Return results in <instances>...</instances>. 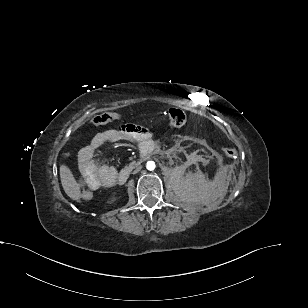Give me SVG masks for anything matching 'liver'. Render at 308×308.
Segmentation results:
<instances>
[{
    "label": "liver",
    "instance_id": "obj_1",
    "mask_svg": "<svg viewBox=\"0 0 308 308\" xmlns=\"http://www.w3.org/2000/svg\"><path fill=\"white\" fill-rule=\"evenodd\" d=\"M60 179L65 193L73 200L80 198L79 185L66 165L60 166Z\"/></svg>",
    "mask_w": 308,
    "mask_h": 308
}]
</instances>
